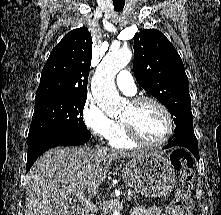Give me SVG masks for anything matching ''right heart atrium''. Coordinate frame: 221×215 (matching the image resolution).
Here are the masks:
<instances>
[{
  "label": "right heart atrium",
  "instance_id": "d8ad5b80",
  "mask_svg": "<svg viewBox=\"0 0 221 215\" xmlns=\"http://www.w3.org/2000/svg\"><path fill=\"white\" fill-rule=\"evenodd\" d=\"M81 116L86 128L99 138L109 139L116 131V122L91 98L85 101Z\"/></svg>",
  "mask_w": 221,
  "mask_h": 215
}]
</instances>
